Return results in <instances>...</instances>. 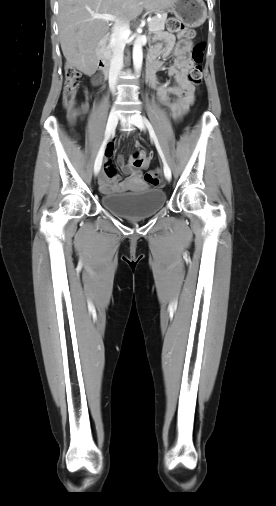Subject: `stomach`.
<instances>
[{
    "mask_svg": "<svg viewBox=\"0 0 276 506\" xmlns=\"http://www.w3.org/2000/svg\"><path fill=\"white\" fill-rule=\"evenodd\" d=\"M169 11L190 27L200 26L207 17V8L203 0H174Z\"/></svg>",
    "mask_w": 276,
    "mask_h": 506,
    "instance_id": "stomach-1",
    "label": "stomach"
}]
</instances>
